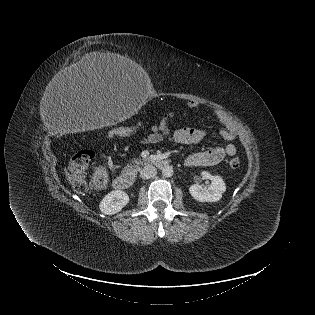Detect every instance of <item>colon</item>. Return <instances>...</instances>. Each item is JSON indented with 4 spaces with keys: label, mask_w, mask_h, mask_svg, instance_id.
<instances>
[{
    "label": "colon",
    "mask_w": 315,
    "mask_h": 315,
    "mask_svg": "<svg viewBox=\"0 0 315 315\" xmlns=\"http://www.w3.org/2000/svg\"><path fill=\"white\" fill-rule=\"evenodd\" d=\"M134 126L119 127L112 135L118 137H125L133 132ZM94 158V152L88 149L79 150L70 159L69 164L65 170L66 178L72 188L77 192H85L88 188V183L86 180L85 172ZM229 166L236 169L240 166V160L238 158H233L229 162ZM106 177L103 169L98 172V180L100 183L104 181Z\"/></svg>",
    "instance_id": "colon-1"
}]
</instances>
